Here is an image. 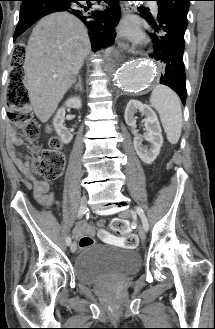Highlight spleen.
Listing matches in <instances>:
<instances>
[{"label":"spleen","instance_id":"3e777b00","mask_svg":"<svg viewBox=\"0 0 215 329\" xmlns=\"http://www.w3.org/2000/svg\"><path fill=\"white\" fill-rule=\"evenodd\" d=\"M151 106L158 112L171 144L179 141L182 129V110L178 95L164 85H157L150 96Z\"/></svg>","mask_w":215,"mask_h":329}]
</instances>
